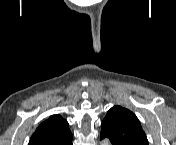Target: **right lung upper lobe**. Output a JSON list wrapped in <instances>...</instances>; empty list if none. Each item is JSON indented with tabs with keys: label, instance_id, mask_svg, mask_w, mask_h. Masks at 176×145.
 Segmentation results:
<instances>
[{
	"label": "right lung upper lobe",
	"instance_id": "cb5924a9",
	"mask_svg": "<svg viewBox=\"0 0 176 145\" xmlns=\"http://www.w3.org/2000/svg\"><path fill=\"white\" fill-rule=\"evenodd\" d=\"M29 145H72L68 122L60 115H52L39 125Z\"/></svg>",
	"mask_w": 176,
	"mask_h": 145
}]
</instances>
